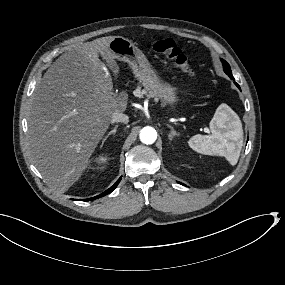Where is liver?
<instances>
[{"instance_id":"1","label":"liver","mask_w":285,"mask_h":285,"mask_svg":"<svg viewBox=\"0 0 285 285\" xmlns=\"http://www.w3.org/2000/svg\"><path fill=\"white\" fill-rule=\"evenodd\" d=\"M112 39L102 37L75 45L36 85L27 118V146L48 185L60 193L87 168L113 113L126 110L127 93H113L112 78L105 69L107 65L115 74L119 71L109 49Z\"/></svg>"}]
</instances>
